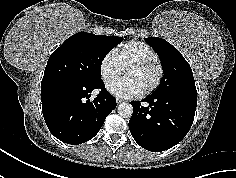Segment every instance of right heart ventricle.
<instances>
[{"label":"right heart ventricle","mask_w":236,"mask_h":178,"mask_svg":"<svg viewBox=\"0 0 236 178\" xmlns=\"http://www.w3.org/2000/svg\"><path fill=\"white\" fill-rule=\"evenodd\" d=\"M114 54L122 69L133 61L158 60V54L151 46L136 40L122 44Z\"/></svg>","instance_id":"right-heart-ventricle-1"}]
</instances>
